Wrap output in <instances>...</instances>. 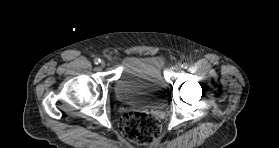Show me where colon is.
Segmentation results:
<instances>
[{
    "label": "colon",
    "instance_id": "colon-1",
    "mask_svg": "<svg viewBox=\"0 0 279 148\" xmlns=\"http://www.w3.org/2000/svg\"><path fill=\"white\" fill-rule=\"evenodd\" d=\"M120 130L134 143L150 144L158 138L161 131V124L153 115L130 111L122 116Z\"/></svg>",
    "mask_w": 279,
    "mask_h": 148
}]
</instances>
